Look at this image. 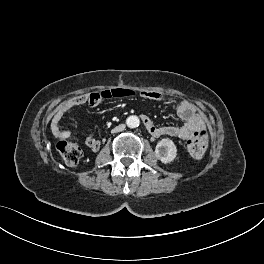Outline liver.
Here are the masks:
<instances>
[{
    "label": "liver",
    "instance_id": "liver-1",
    "mask_svg": "<svg viewBox=\"0 0 264 264\" xmlns=\"http://www.w3.org/2000/svg\"><path fill=\"white\" fill-rule=\"evenodd\" d=\"M59 138L63 139V138H67L69 136V132H62V133H59Z\"/></svg>",
    "mask_w": 264,
    "mask_h": 264
}]
</instances>
